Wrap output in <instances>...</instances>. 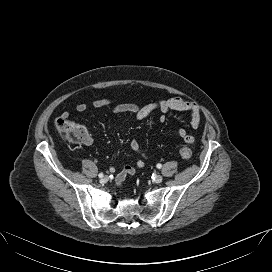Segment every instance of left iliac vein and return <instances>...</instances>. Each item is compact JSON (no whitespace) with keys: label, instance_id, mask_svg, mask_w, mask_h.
Here are the masks:
<instances>
[{"label":"left iliac vein","instance_id":"left-iliac-vein-1","mask_svg":"<svg viewBox=\"0 0 272 272\" xmlns=\"http://www.w3.org/2000/svg\"><path fill=\"white\" fill-rule=\"evenodd\" d=\"M163 180V177L161 175H156L155 178H154V182L155 183H161Z\"/></svg>","mask_w":272,"mask_h":272}]
</instances>
